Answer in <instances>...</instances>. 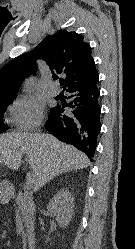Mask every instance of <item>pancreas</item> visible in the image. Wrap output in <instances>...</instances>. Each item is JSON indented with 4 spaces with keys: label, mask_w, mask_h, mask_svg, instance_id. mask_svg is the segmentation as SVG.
Masks as SVG:
<instances>
[{
    "label": "pancreas",
    "mask_w": 135,
    "mask_h": 249,
    "mask_svg": "<svg viewBox=\"0 0 135 249\" xmlns=\"http://www.w3.org/2000/svg\"><path fill=\"white\" fill-rule=\"evenodd\" d=\"M16 203L18 205V210H21L23 219L25 221L28 222L33 218L35 208L31 200L24 197L22 193H19L16 198Z\"/></svg>",
    "instance_id": "cf45deb5"
}]
</instances>
